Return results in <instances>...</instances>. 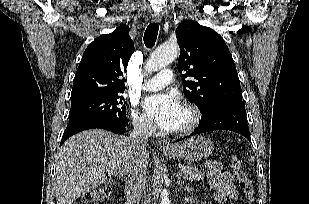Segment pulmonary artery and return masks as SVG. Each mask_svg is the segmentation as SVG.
<instances>
[{"instance_id":"1","label":"pulmonary artery","mask_w":309,"mask_h":204,"mask_svg":"<svg viewBox=\"0 0 309 204\" xmlns=\"http://www.w3.org/2000/svg\"><path fill=\"white\" fill-rule=\"evenodd\" d=\"M173 80L171 70H163L159 75L146 80L143 84L145 90H159L169 85Z\"/></svg>"}]
</instances>
